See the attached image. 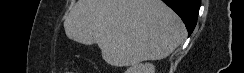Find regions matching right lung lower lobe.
<instances>
[{
  "instance_id": "right-lung-lower-lobe-1",
  "label": "right lung lower lobe",
  "mask_w": 244,
  "mask_h": 73,
  "mask_svg": "<svg viewBox=\"0 0 244 73\" xmlns=\"http://www.w3.org/2000/svg\"><path fill=\"white\" fill-rule=\"evenodd\" d=\"M172 8L183 20L188 36L193 32L200 7V0H162Z\"/></svg>"
}]
</instances>
